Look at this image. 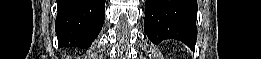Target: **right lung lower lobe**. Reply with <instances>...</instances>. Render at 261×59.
I'll use <instances>...</instances> for the list:
<instances>
[{
    "instance_id": "1",
    "label": "right lung lower lobe",
    "mask_w": 261,
    "mask_h": 59,
    "mask_svg": "<svg viewBox=\"0 0 261 59\" xmlns=\"http://www.w3.org/2000/svg\"><path fill=\"white\" fill-rule=\"evenodd\" d=\"M55 29L60 47L87 49L105 19V0H58Z\"/></svg>"
}]
</instances>
